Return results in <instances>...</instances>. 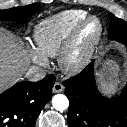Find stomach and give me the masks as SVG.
<instances>
[{
    "label": "stomach",
    "mask_w": 127,
    "mask_h": 127,
    "mask_svg": "<svg viewBox=\"0 0 127 127\" xmlns=\"http://www.w3.org/2000/svg\"><path fill=\"white\" fill-rule=\"evenodd\" d=\"M97 75L100 87L108 93L115 92L122 79L120 66L112 61H103Z\"/></svg>",
    "instance_id": "obj_1"
}]
</instances>
